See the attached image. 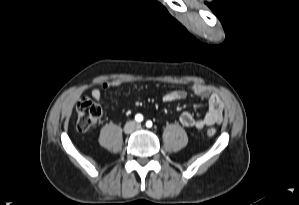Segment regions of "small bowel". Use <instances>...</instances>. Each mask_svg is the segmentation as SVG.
Returning a JSON list of instances; mask_svg holds the SVG:
<instances>
[{
	"instance_id": "obj_1",
	"label": "small bowel",
	"mask_w": 299,
	"mask_h": 205,
	"mask_svg": "<svg viewBox=\"0 0 299 205\" xmlns=\"http://www.w3.org/2000/svg\"><path fill=\"white\" fill-rule=\"evenodd\" d=\"M120 86L121 82L117 80L104 82L101 85V88H95L92 90V98L96 102H100L103 90L115 89ZM192 91L196 96L206 98L208 100L207 112L203 117L196 118L192 113L185 111L180 115V123L184 127H195L197 129H203L207 126L219 124L223 119L224 108L221 99L216 94L211 93L205 85L200 83L194 84L192 86ZM186 96L187 93L184 90H173L166 93L163 96V100L165 102H174L183 100Z\"/></svg>"
}]
</instances>
